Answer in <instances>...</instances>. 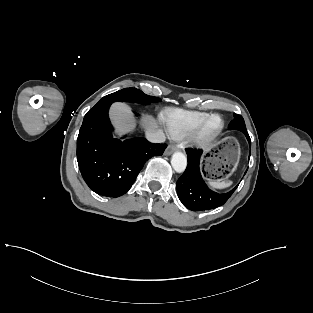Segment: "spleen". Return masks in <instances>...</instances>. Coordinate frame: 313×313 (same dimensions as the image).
Instances as JSON below:
<instances>
[{
  "mask_svg": "<svg viewBox=\"0 0 313 313\" xmlns=\"http://www.w3.org/2000/svg\"><path fill=\"white\" fill-rule=\"evenodd\" d=\"M208 184L214 189H225L232 185V181H209Z\"/></svg>",
  "mask_w": 313,
  "mask_h": 313,
  "instance_id": "3e777b00",
  "label": "spleen"
}]
</instances>
